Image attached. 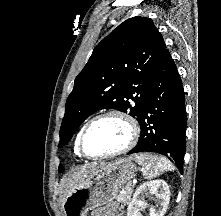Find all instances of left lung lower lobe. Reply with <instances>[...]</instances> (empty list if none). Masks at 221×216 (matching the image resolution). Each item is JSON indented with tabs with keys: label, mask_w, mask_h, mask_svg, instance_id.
I'll return each instance as SVG.
<instances>
[{
	"label": "left lung lower lobe",
	"mask_w": 221,
	"mask_h": 216,
	"mask_svg": "<svg viewBox=\"0 0 221 216\" xmlns=\"http://www.w3.org/2000/svg\"><path fill=\"white\" fill-rule=\"evenodd\" d=\"M184 90L168 50L159 61L149 83L137 145L128 152H156L167 156L183 171L186 137Z\"/></svg>",
	"instance_id": "left-lung-lower-lobe-1"
}]
</instances>
